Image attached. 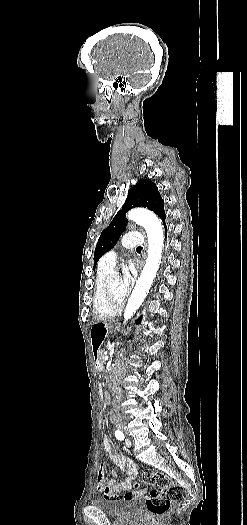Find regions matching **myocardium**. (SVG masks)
Masks as SVG:
<instances>
[{
    "instance_id": "obj_1",
    "label": "myocardium",
    "mask_w": 247,
    "mask_h": 525,
    "mask_svg": "<svg viewBox=\"0 0 247 525\" xmlns=\"http://www.w3.org/2000/svg\"><path fill=\"white\" fill-rule=\"evenodd\" d=\"M122 261V260H121ZM121 261L119 263H117V266L120 267L121 265ZM100 263V262H99ZM110 281H111V278L108 277L105 282H104V285H103V288H102V292H103V295L104 297H108L110 294H111V291H110Z\"/></svg>"
}]
</instances>
